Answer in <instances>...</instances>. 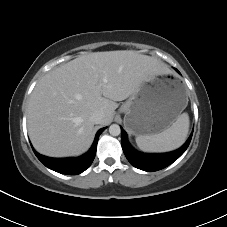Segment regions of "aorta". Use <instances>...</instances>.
<instances>
[{
	"mask_svg": "<svg viewBox=\"0 0 227 227\" xmlns=\"http://www.w3.org/2000/svg\"><path fill=\"white\" fill-rule=\"evenodd\" d=\"M109 133H110L112 136H118V135L121 133L120 126L117 125V124H112V125L109 127Z\"/></svg>",
	"mask_w": 227,
	"mask_h": 227,
	"instance_id": "762f6f07",
	"label": "aorta"
}]
</instances>
